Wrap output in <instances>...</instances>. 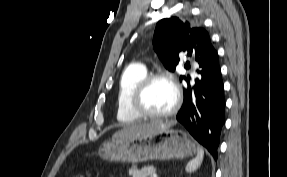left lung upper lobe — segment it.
<instances>
[{"label":"left lung upper lobe","mask_w":287,"mask_h":177,"mask_svg":"<svg viewBox=\"0 0 287 177\" xmlns=\"http://www.w3.org/2000/svg\"><path fill=\"white\" fill-rule=\"evenodd\" d=\"M153 43L164 66L172 72L179 62V52L187 51L189 56L193 54L199 61L208 55L212 47L206 30L192 27L188 21L178 17L165 18L157 23ZM186 79V76H180V81Z\"/></svg>","instance_id":"obj_1"}]
</instances>
